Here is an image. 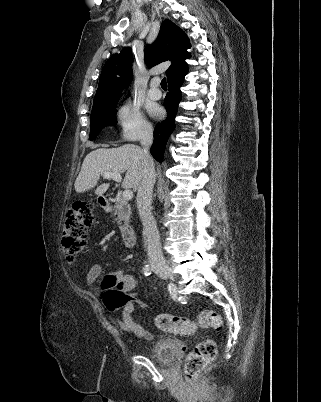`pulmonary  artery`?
I'll return each mask as SVG.
<instances>
[{"instance_id":"obj_1","label":"pulmonary artery","mask_w":321,"mask_h":402,"mask_svg":"<svg viewBox=\"0 0 321 402\" xmlns=\"http://www.w3.org/2000/svg\"><path fill=\"white\" fill-rule=\"evenodd\" d=\"M159 86V80L158 78H154L151 82H150V87L147 91V95L150 99L152 100H158L161 98V91L158 88Z\"/></svg>"}]
</instances>
